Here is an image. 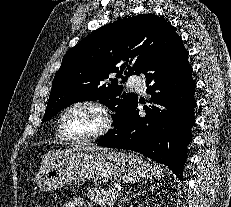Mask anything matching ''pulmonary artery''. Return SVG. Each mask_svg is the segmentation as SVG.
I'll return each instance as SVG.
<instances>
[{
  "instance_id": "pulmonary-artery-1",
  "label": "pulmonary artery",
  "mask_w": 231,
  "mask_h": 207,
  "mask_svg": "<svg viewBox=\"0 0 231 207\" xmlns=\"http://www.w3.org/2000/svg\"><path fill=\"white\" fill-rule=\"evenodd\" d=\"M128 85L140 91L144 90L143 80L138 75H131L128 79Z\"/></svg>"
}]
</instances>
